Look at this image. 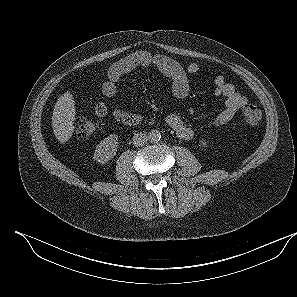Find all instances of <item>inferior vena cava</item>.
<instances>
[{
	"label": "inferior vena cava",
	"mask_w": 297,
	"mask_h": 297,
	"mask_svg": "<svg viewBox=\"0 0 297 297\" xmlns=\"http://www.w3.org/2000/svg\"><path fill=\"white\" fill-rule=\"evenodd\" d=\"M148 141V136L145 133L137 132L133 136V145L136 147L143 146Z\"/></svg>",
	"instance_id": "1"
}]
</instances>
